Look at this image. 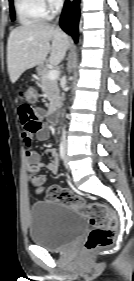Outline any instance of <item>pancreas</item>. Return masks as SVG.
<instances>
[{"label": "pancreas", "instance_id": "pancreas-1", "mask_svg": "<svg viewBox=\"0 0 134 281\" xmlns=\"http://www.w3.org/2000/svg\"><path fill=\"white\" fill-rule=\"evenodd\" d=\"M48 69H44L40 72L41 76V89L45 92V95L49 101V112L56 110L59 104V88L57 80H51L48 78Z\"/></svg>", "mask_w": 134, "mask_h": 281}]
</instances>
